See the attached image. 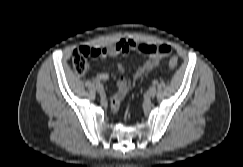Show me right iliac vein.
Here are the masks:
<instances>
[{
  "mask_svg": "<svg viewBox=\"0 0 243 167\" xmlns=\"http://www.w3.org/2000/svg\"><path fill=\"white\" fill-rule=\"evenodd\" d=\"M97 92L102 94L104 92V87L102 85H97Z\"/></svg>",
  "mask_w": 243,
  "mask_h": 167,
  "instance_id": "63e3f726",
  "label": "right iliac vein"
}]
</instances>
